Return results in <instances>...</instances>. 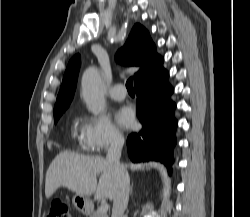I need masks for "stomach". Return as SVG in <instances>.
Instances as JSON below:
<instances>
[{
    "mask_svg": "<svg viewBox=\"0 0 250 217\" xmlns=\"http://www.w3.org/2000/svg\"><path fill=\"white\" fill-rule=\"evenodd\" d=\"M72 202L75 208L84 215H89L93 210V202L88 196L75 194Z\"/></svg>",
    "mask_w": 250,
    "mask_h": 217,
    "instance_id": "0dacf381",
    "label": "stomach"
}]
</instances>
